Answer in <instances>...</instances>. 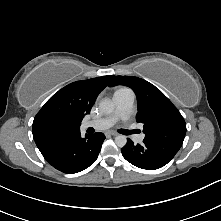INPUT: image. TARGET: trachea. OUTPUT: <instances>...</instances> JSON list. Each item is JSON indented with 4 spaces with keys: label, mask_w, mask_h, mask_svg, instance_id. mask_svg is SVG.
I'll use <instances>...</instances> for the list:
<instances>
[{
    "label": "trachea",
    "mask_w": 221,
    "mask_h": 221,
    "mask_svg": "<svg viewBox=\"0 0 221 221\" xmlns=\"http://www.w3.org/2000/svg\"><path fill=\"white\" fill-rule=\"evenodd\" d=\"M132 132H134V131L124 130V131H123V134L128 135V134H130V133H132Z\"/></svg>",
    "instance_id": "trachea-1"
}]
</instances>
